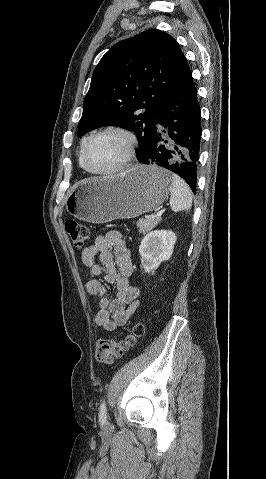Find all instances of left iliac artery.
Wrapping results in <instances>:
<instances>
[{"label":"left iliac artery","mask_w":266,"mask_h":479,"mask_svg":"<svg viewBox=\"0 0 266 479\" xmlns=\"http://www.w3.org/2000/svg\"><path fill=\"white\" fill-rule=\"evenodd\" d=\"M107 412H106V404H105V401H103L100 405V409H99V418L100 420L102 421H106V415Z\"/></svg>","instance_id":"left-iliac-artery-1"}]
</instances>
